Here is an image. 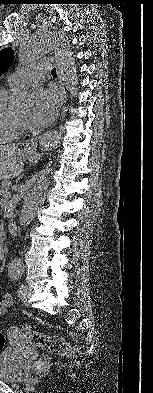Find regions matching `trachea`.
<instances>
[{
    "mask_svg": "<svg viewBox=\"0 0 153 393\" xmlns=\"http://www.w3.org/2000/svg\"><path fill=\"white\" fill-rule=\"evenodd\" d=\"M51 74H52L53 76H57L56 68H53V69H52Z\"/></svg>",
    "mask_w": 153,
    "mask_h": 393,
    "instance_id": "trachea-1",
    "label": "trachea"
}]
</instances>
